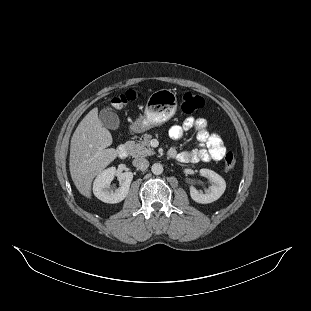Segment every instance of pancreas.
<instances>
[{
  "mask_svg": "<svg viewBox=\"0 0 311 311\" xmlns=\"http://www.w3.org/2000/svg\"><path fill=\"white\" fill-rule=\"evenodd\" d=\"M152 136L150 134H145L142 141L136 143L135 141H127L125 143L128 153L134 157H146L155 154V151L150 146V140Z\"/></svg>",
  "mask_w": 311,
  "mask_h": 311,
  "instance_id": "cf45deb5",
  "label": "pancreas"
}]
</instances>
